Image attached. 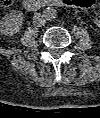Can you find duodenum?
<instances>
[{
  "instance_id": "duodenum-1",
  "label": "duodenum",
  "mask_w": 100,
  "mask_h": 118,
  "mask_svg": "<svg viewBox=\"0 0 100 118\" xmlns=\"http://www.w3.org/2000/svg\"><path fill=\"white\" fill-rule=\"evenodd\" d=\"M67 4V0H25L24 8L33 11L39 8L61 6Z\"/></svg>"
}]
</instances>
